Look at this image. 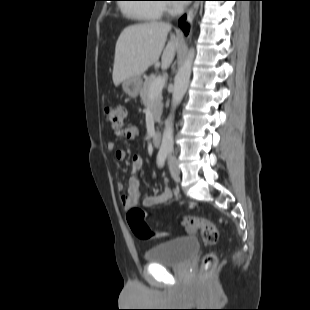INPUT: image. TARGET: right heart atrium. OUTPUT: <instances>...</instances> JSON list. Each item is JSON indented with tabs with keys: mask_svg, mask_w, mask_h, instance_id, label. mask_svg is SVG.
Masks as SVG:
<instances>
[{
	"mask_svg": "<svg viewBox=\"0 0 310 310\" xmlns=\"http://www.w3.org/2000/svg\"><path fill=\"white\" fill-rule=\"evenodd\" d=\"M170 10L171 8L170 7H167V6H164V7H162V10Z\"/></svg>",
	"mask_w": 310,
	"mask_h": 310,
	"instance_id": "d8ad5b80",
	"label": "right heart atrium"
}]
</instances>
